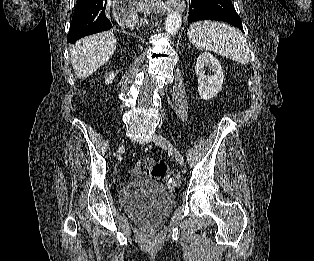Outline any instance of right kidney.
<instances>
[{
	"instance_id": "ca27d5eb",
	"label": "right kidney",
	"mask_w": 314,
	"mask_h": 261,
	"mask_svg": "<svg viewBox=\"0 0 314 261\" xmlns=\"http://www.w3.org/2000/svg\"><path fill=\"white\" fill-rule=\"evenodd\" d=\"M114 78H115V74L112 72V73L109 74V76H107V77L105 78V83H106V84L112 83V81L114 80Z\"/></svg>"
}]
</instances>
